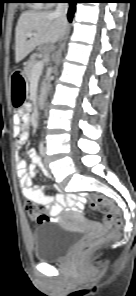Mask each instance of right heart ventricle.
Listing matches in <instances>:
<instances>
[{
    "label": "right heart ventricle",
    "mask_w": 136,
    "mask_h": 296,
    "mask_svg": "<svg viewBox=\"0 0 136 296\" xmlns=\"http://www.w3.org/2000/svg\"><path fill=\"white\" fill-rule=\"evenodd\" d=\"M33 5H34V7H37V8L47 6L46 4L43 3V1H38L37 3H34Z\"/></svg>",
    "instance_id": "e07e8e85"
}]
</instances>
